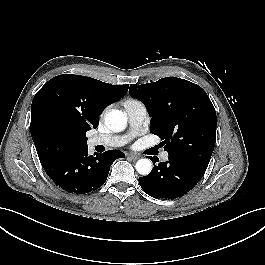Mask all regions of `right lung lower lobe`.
<instances>
[{"mask_svg":"<svg viewBox=\"0 0 265 265\" xmlns=\"http://www.w3.org/2000/svg\"><path fill=\"white\" fill-rule=\"evenodd\" d=\"M95 155L88 154L87 146L40 162L59 187L68 192L83 194L101 187L107 180L111 164L125 157L118 150Z\"/></svg>","mask_w":265,"mask_h":265,"instance_id":"98d812e1","label":"right lung lower lobe"}]
</instances>
